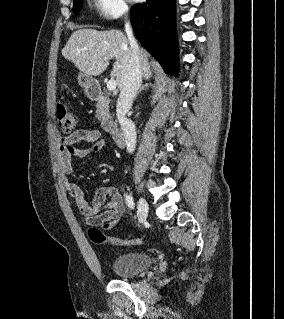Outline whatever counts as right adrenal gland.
<instances>
[{"instance_id":"right-adrenal-gland-1","label":"right adrenal gland","mask_w":284,"mask_h":319,"mask_svg":"<svg viewBox=\"0 0 284 319\" xmlns=\"http://www.w3.org/2000/svg\"><path fill=\"white\" fill-rule=\"evenodd\" d=\"M147 88H148V84L141 86L140 89H139V91L137 92V95H138L141 91H143V90H145V89H147ZM137 95H136V96H137ZM136 96H135V98H136Z\"/></svg>"}]
</instances>
